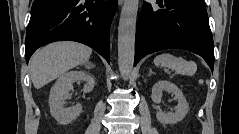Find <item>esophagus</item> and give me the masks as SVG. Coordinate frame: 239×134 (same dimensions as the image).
Returning a JSON list of instances; mask_svg holds the SVG:
<instances>
[{
  "label": "esophagus",
  "instance_id": "esophagus-1",
  "mask_svg": "<svg viewBox=\"0 0 239 134\" xmlns=\"http://www.w3.org/2000/svg\"><path fill=\"white\" fill-rule=\"evenodd\" d=\"M118 4L121 6L123 4V0H118Z\"/></svg>",
  "mask_w": 239,
  "mask_h": 134
}]
</instances>
